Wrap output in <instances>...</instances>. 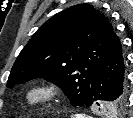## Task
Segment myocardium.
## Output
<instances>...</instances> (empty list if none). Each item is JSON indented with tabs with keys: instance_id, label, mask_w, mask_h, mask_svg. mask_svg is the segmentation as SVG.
Returning a JSON list of instances; mask_svg holds the SVG:
<instances>
[{
	"instance_id": "obj_1",
	"label": "myocardium",
	"mask_w": 133,
	"mask_h": 118,
	"mask_svg": "<svg viewBox=\"0 0 133 118\" xmlns=\"http://www.w3.org/2000/svg\"><path fill=\"white\" fill-rule=\"evenodd\" d=\"M62 95L61 86L53 80L39 79L29 83L23 91V99L29 107L51 104Z\"/></svg>"
}]
</instances>
